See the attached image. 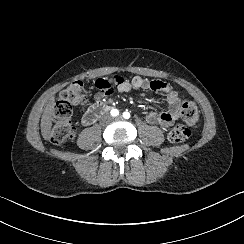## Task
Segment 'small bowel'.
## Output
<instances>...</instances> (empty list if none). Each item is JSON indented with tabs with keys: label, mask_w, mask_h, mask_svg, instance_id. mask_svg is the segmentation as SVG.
<instances>
[{
	"label": "small bowel",
	"mask_w": 244,
	"mask_h": 244,
	"mask_svg": "<svg viewBox=\"0 0 244 244\" xmlns=\"http://www.w3.org/2000/svg\"><path fill=\"white\" fill-rule=\"evenodd\" d=\"M95 88L96 92L93 96L95 102H102L115 91L129 92L133 89H142L159 93L164 96V110L160 113L156 111L147 112L145 116L146 122L150 125L168 128L177 119L179 94L167 82L160 80L149 81L141 77L126 79L120 75H116L108 79L97 80L95 82ZM82 121L85 124H89L91 122L89 111L83 115Z\"/></svg>",
	"instance_id": "1"
}]
</instances>
